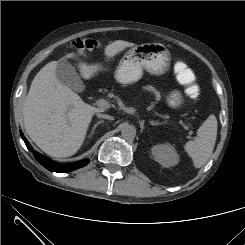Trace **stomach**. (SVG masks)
<instances>
[{"instance_id":"1","label":"stomach","mask_w":245,"mask_h":245,"mask_svg":"<svg viewBox=\"0 0 245 245\" xmlns=\"http://www.w3.org/2000/svg\"><path fill=\"white\" fill-rule=\"evenodd\" d=\"M171 55L161 43H144L129 49L120 60L115 71V79L121 84H132L142 78L147 71L154 75H163L170 65ZM168 104L177 107L182 103L179 92L168 96Z\"/></svg>"}]
</instances>
